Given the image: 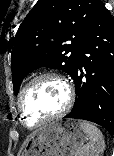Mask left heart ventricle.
<instances>
[{
  "instance_id": "b2bd125f",
  "label": "left heart ventricle",
  "mask_w": 114,
  "mask_h": 156,
  "mask_svg": "<svg viewBox=\"0 0 114 156\" xmlns=\"http://www.w3.org/2000/svg\"><path fill=\"white\" fill-rule=\"evenodd\" d=\"M65 99V90L58 81L45 78L35 82L22 98L25 122L32 126L57 113L63 107Z\"/></svg>"
}]
</instances>
